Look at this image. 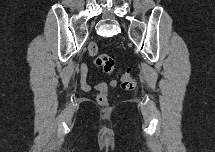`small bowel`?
<instances>
[{"label":"small bowel","mask_w":215,"mask_h":152,"mask_svg":"<svg viewBox=\"0 0 215 152\" xmlns=\"http://www.w3.org/2000/svg\"><path fill=\"white\" fill-rule=\"evenodd\" d=\"M111 85H115V82H112ZM81 86L84 90H90L91 86L87 83L86 81V68H82V78H81ZM93 88L97 91H106L107 90V85L105 83H97L93 86Z\"/></svg>","instance_id":"small-bowel-1"}]
</instances>
